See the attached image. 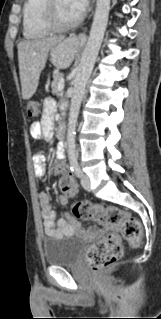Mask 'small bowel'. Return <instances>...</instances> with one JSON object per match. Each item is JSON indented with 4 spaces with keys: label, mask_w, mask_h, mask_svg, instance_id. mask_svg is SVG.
<instances>
[{
    "label": "small bowel",
    "mask_w": 161,
    "mask_h": 319,
    "mask_svg": "<svg viewBox=\"0 0 161 319\" xmlns=\"http://www.w3.org/2000/svg\"><path fill=\"white\" fill-rule=\"evenodd\" d=\"M56 112L57 104L55 100L47 98L43 104V117L41 121L33 123L30 128V135L32 139L42 142H49L52 139ZM62 151V148H58L59 153H62ZM44 161L45 159L41 153L34 155L33 162L35 175L42 176L45 173ZM57 170L63 178H69L73 183V188L66 190L64 194L58 196V201L61 204H66L68 199L77 193V184L71 177L64 161L57 165ZM39 207L46 235H60L82 230L80 224L76 222L70 214L65 213L61 218H58V213L52 209L49 196L44 190L40 193ZM102 231L103 229L89 230L87 235L91 238L97 237L102 233Z\"/></svg>",
    "instance_id": "obj_1"
}]
</instances>
